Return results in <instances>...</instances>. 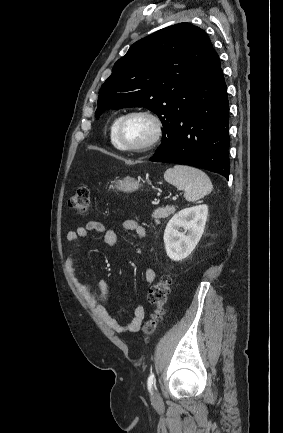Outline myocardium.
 <instances>
[{
	"label": "myocardium",
	"mask_w": 283,
	"mask_h": 433,
	"mask_svg": "<svg viewBox=\"0 0 283 433\" xmlns=\"http://www.w3.org/2000/svg\"><path fill=\"white\" fill-rule=\"evenodd\" d=\"M137 115L145 116L153 122L154 134L145 143H142L139 145H126L122 142V139H121L122 127H123V125L127 119H129L132 116H137ZM164 130H165L164 121L158 113H156L152 110H149V109H144V108L133 109V110L126 112L120 118V120H119V122L115 128V140H116V143H117V146L119 147V149H121L123 151L136 152V153H147V152L154 150L159 145V143L161 142V140L163 138Z\"/></svg>",
	"instance_id": "obj_1"
}]
</instances>
